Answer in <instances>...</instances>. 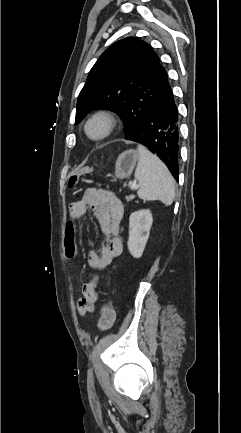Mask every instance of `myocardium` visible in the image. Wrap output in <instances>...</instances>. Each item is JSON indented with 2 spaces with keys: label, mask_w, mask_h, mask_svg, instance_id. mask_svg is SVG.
I'll return each instance as SVG.
<instances>
[{
  "label": "myocardium",
  "mask_w": 241,
  "mask_h": 433,
  "mask_svg": "<svg viewBox=\"0 0 241 433\" xmlns=\"http://www.w3.org/2000/svg\"><path fill=\"white\" fill-rule=\"evenodd\" d=\"M96 124L100 126V131L92 133L91 128ZM118 124L119 119L115 113L101 109L88 116L83 124V132L90 141L100 142L109 138L116 131Z\"/></svg>",
  "instance_id": "obj_1"
}]
</instances>
